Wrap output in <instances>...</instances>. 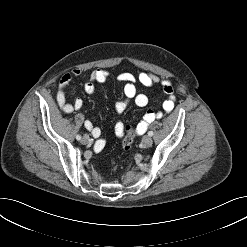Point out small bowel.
<instances>
[{
  "mask_svg": "<svg viewBox=\"0 0 247 247\" xmlns=\"http://www.w3.org/2000/svg\"><path fill=\"white\" fill-rule=\"evenodd\" d=\"M81 75L80 69H73L71 72L62 76L59 82L58 90L56 93V100L60 109L65 113H71L75 110H79L83 101L81 98H75L73 102H69L66 98V87L67 85L78 78ZM108 78V71L105 69H96L91 73L90 80L86 82L83 86L84 91L87 94H93L95 92V83L103 84ZM118 81L124 83V98L115 104V112L117 114L123 113L129 102L133 101L139 107H145L148 104V97L145 94L139 93L137 90V81L144 87H153L158 85L166 99L163 102L162 108L163 112L171 113L175 106V95L172 83L167 79H160L159 77L147 73L141 72L135 77L133 74L124 72L118 75ZM163 113L161 111L155 112L153 110H148L139 123L136 126V131L138 134L144 133L148 126L156 119L161 118ZM85 128L91 133L94 138H99L101 136V130L99 127L95 126L92 121H84ZM124 123L117 121L114 126L115 134L117 137H122L124 134ZM104 146V141L100 140L96 144V149H101Z\"/></svg>",
  "mask_w": 247,
  "mask_h": 247,
  "instance_id": "c3829d8e",
  "label": "small bowel"
}]
</instances>
